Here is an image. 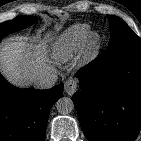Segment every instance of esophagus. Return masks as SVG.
Returning a JSON list of instances; mask_svg holds the SVG:
<instances>
[{"mask_svg":"<svg viewBox=\"0 0 141 141\" xmlns=\"http://www.w3.org/2000/svg\"><path fill=\"white\" fill-rule=\"evenodd\" d=\"M78 82L74 79H69L64 84V90L68 95H73L77 90Z\"/></svg>","mask_w":141,"mask_h":141,"instance_id":"esophagus-1","label":"esophagus"}]
</instances>
